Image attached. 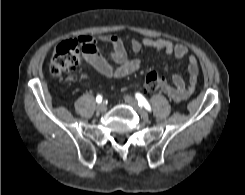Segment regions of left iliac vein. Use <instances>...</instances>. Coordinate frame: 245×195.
Here are the masks:
<instances>
[{"label": "left iliac vein", "mask_w": 245, "mask_h": 195, "mask_svg": "<svg viewBox=\"0 0 245 195\" xmlns=\"http://www.w3.org/2000/svg\"><path fill=\"white\" fill-rule=\"evenodd\" d=\"M125 101L127 104H129L131 107H133L135 109V111H137L140 116L144 119L148 118V113L142 109L141 107H139L138 102L136 101V99H134L133 97L126 95L124 97Z\"/></svg>", "instance_id": "obj_1"}]
</instances>
